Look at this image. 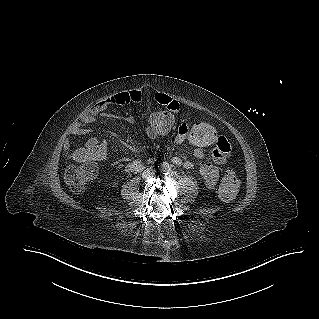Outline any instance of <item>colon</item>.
I'll list each match as a JSON object with an SVG mask.
<instances>
[{"label":"colon","instance_id":"1","mask_svg":"<svg viewBox=\"0 0 319 319\" xmlns=\"http://www.w3.org/2000/svg\"><path fill=\"white\" fill-rule=\"evenodd\" d=\"M176 122L177 118L173 113H166L165 110L156 111L145 119L143 129L149 138L159 140L172 135L176 131ZM189 127L191 132L189 135H185V138L191 146L205 152L217 149L214 140L218 136L222 137V135L216 126L207 121H195ZM227 144L230 147L228 141ZM71 156L79 164L73 165L65 171L64 180L72 192L81 193L97 175L95 162L98 157L84 148L72 152ZM240 186L241 179L230 173L221 182L218 188V195L222 200L230 201L235 197Z\"/></svg>","mask_w":319,"mask_h":319}]
</instances>
